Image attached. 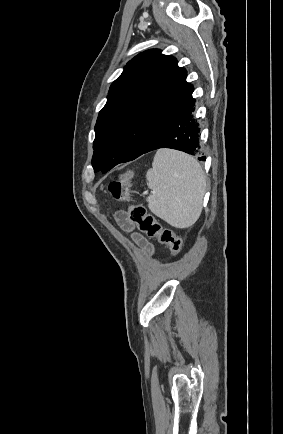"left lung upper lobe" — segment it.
I'll return each mask as SVG.
<instances>
[{
	"instance_id": "obj_1",
	"label": "left lung upper lobe",
	"mask_w": 283,
	"mask_h": 434,
	"mask_svg": "<svg viewBox=\"0 0 283 434\" xmlns=\"http://www.w3.org/2000/svg\"><path fill=\"white\" fill-rule=\"evenodd\" d=\"M171 55L144 51L112 83L95 125L92 166L107 172L143 154L167 117L193 93Z\"/></svg>"
}]
</instances>
